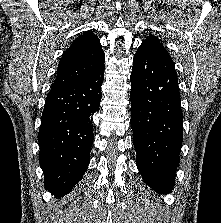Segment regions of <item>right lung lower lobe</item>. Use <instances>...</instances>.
I'll list each match as a JSON object with an SVG mask.
<instances>
[{
	"label": "right lung lower lobe",
	"instance_id": "98d812e1",
	"mask_svg": "<svg viewBox=\"0 0 221 223\" xmlns=\"http://www.w3.org/2000/svg\"><path fill=\"white\" fill-rule=\"evenodd\" d=\"M105 66L90 77L51 90L38 133L45 188L56 196L72 191L90 161L92 115L98 111Z\"/></svg>",
	"mask_w": 221,
	"mask_h": 223
}]
</instances>
